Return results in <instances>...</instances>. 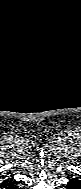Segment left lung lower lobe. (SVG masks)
Returning a JSON list of instances; mask_svg holds the SVG:
<instances>
[{
	"mask_svg": "<svg viewBox=\"0 0 81 189\" xmlns=\"http://www.w3.org/2000/svg\"><path fill=\"white\" fill-rule=\"evenodd\" d=\"M69 182L66 185L68 189H81V180L78 177H68Z\"/></svg>",
	"mask_w": 81,
	"mask_h": 189,
	"instance_id": "0a47b994",
	"label": "left lung lower lobe"
}]
</instances>
